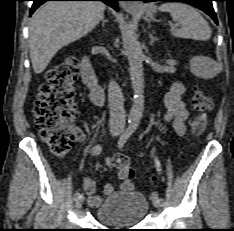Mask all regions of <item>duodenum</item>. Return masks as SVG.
Masks as SVG:
<instances>
[{
    "instance_id": "1",
    "label": "duodenum",
    "mask_w": 234,
    "mask_h": 231,
    "mask_svg": "<svg viewBox=\"0 0 234 231\" xmlns=\"http://www.w3.org/2000/svg\"><path fill=\"white\" fill-rule=\"evenodd\" d=\"M81 71L85 84L91 89L93 100L100 102L102 100L104 90L98 81L93 64L89 58H86L83 61Z\"/></svg>"
}]
</instances>
